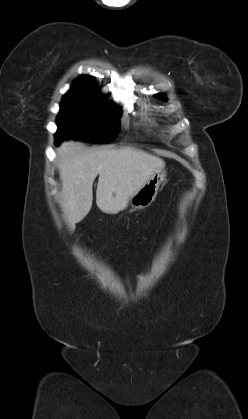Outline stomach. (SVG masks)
<instances>
[{"instance_id": "stomach-1", "label": "stomach", "mask_w": 248, "mask_h": 419, "mask_svg": "<svg viewBox=\"0 0 248 419\" xmlns=\"http://www.w3.org/2000/svg\"><path fill=\"white\" fill-rule=\"evenodd\" d=\"M166 172L164 169L155 172L151 178L130 197V204L135 209L148 207L155 199L160 184L165 180Z\"/></svg>"}]
</instances>
